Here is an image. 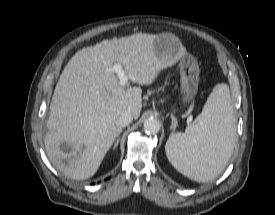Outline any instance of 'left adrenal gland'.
<instances>
[{
    "label": "left adrenal gland",
    "instance_id": "1",
    "mask_svg": "<svg viewBox=\"0 0 275 215\" xmlns=\"http://www.w3.org/2000/svg\"><path fill=\"white\" fill-rule=\"evenodd\" d=\"M171 119H172V123H171L170 129L173 130V132H174L178 125V121H177V118L173 114H171Z\"/></svg>",
    "mask_w": 275,
    "mask_h": 215
}]
</instances>
